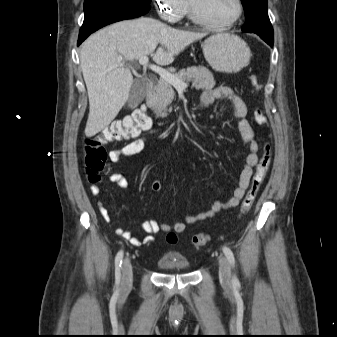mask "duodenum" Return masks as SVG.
<instances>
[{
	"mask_svg": "<svg viewBox=\"0 0 337 337\" xmlns=\"http://www.w3.org/2000/svg\"><path fill=\"white\" fill-rule=\"evenodd\" d=\"M154 82H155V78L153 76H150V77L147 78V81H146V98L148 97L149 93L151 92V90L153 88V85H154ZM139 114H144V113L140 110H137V111L134 112L133 116L139 115Z\"/></svg>",
	"mask_w": 337,
	"mask_h": 337,
	"instance_id": "duodenum-1",
	"label": "duodenum"
}]
</instances>
